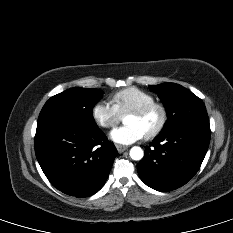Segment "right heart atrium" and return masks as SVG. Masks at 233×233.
<instances>
[{
    "label": "right heart atrium",
    "mask_w": 233,
    "mask_h": 233,
    "mask_svg": "<svg viewBox=\"0 0 233 233\" xmlns=\"http://www.w3.org/2000/svg\"><path fill=\"white\" fill-rule=\"evenodd\" d=\"M95 123L105 129L117 125L121 120V115L112 103L107 101L97 102L91 111Z\"/></svg>",
    "instance_id": "d8ad5b80"
}]
</instances>
